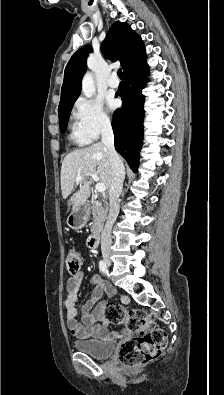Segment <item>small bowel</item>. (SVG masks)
<instances>
[{"label":"small bowel","instance_id":"1","mask_svg":"<svg viewBox=\"0 0 224 395\" xmlns=\"http://www.w3.org/2000/svg\"><path fill=\"white\" fill-rule=\"evenodd\" d=\"M84 279L85 272L79 271L67 281V296L64 301L67 328L75 337L80 339L107 338L109 333L105 327L107 320L104 315L106 304L100 299L105 293L113 294L115 289L100 276L93 275L90 279L93 290L89 299L81 308L82 316L79 321L76 301ZM122 301L126 303L128 298L123 297Z\"/></svg>","mask_w":224,"mask_h":395}]
</instances>
